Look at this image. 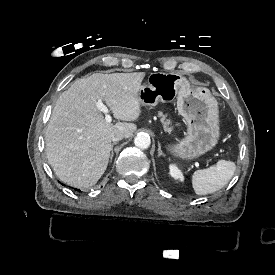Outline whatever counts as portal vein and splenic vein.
Wrapping results in <instances>:
<instances>
[{
  "label": "portal vein and splenic vein",
  "mask_w": 275,
  "mask_h": 275,
  "mask_svg": "<svg viewBox=\"0 0 275 275\" xmlns=\"http://www.w3.org/2000/svg\"><path fill=\"white\" fill-rule=\"evenodd\" d=\"M96 107H97L98 110H100L102 113L105 114L106 122L111 123L112 122V117L109 114V110H108L107 106L103 104L101 99H99L96 102ZM196 167H197V169H201V166H199V164H196Z\"/></svg>",
  "instance_id": "portal-vein-and-splenic-vein-1"
}]
</instances>
